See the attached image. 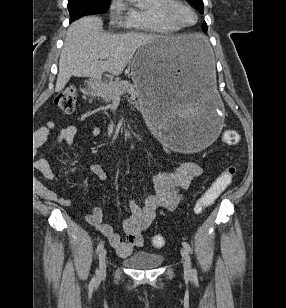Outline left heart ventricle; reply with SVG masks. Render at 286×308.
I'll return each mask as SVG.
<instances>
[{
  "mask_svg": "<svg viewBox=\"0 0 286 308\" xmlns=\"http://www.w3.org/2000/svg\"><path fill=\"white\" fill-rule=\"evenodd\" d=\"M177 16L179 20L184 24H192L195 21L194 14L184 7H179L177 9Z\"/></svg>",
  "mask_w": 286,
  "mask_h": 308,
  "instance_id": "b2bd125f",
  "label": "left heart ventricle"
}]
</instances>
